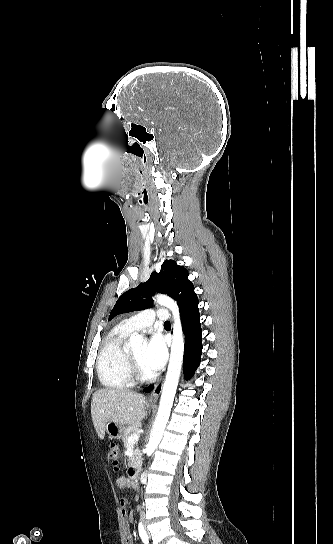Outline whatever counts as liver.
Returning <instances> with one entry per match:
<instances>
[{
    "instance_id": "obj_1",
    "label": "liver",
    "mask_w": 333,
    "mask_h": 544,
    "mask_svg": "<svg viewBox=\"0 0 333 544\" xmlns=\"http://www.w3.org/2000/svg\"><path fill=\"white\" fill-rule=\"evenodd\" d=\"M145 397L125 389H99L91 401V416L100 439L105 426L112 421L120 425H134L145 415Z\"/></svg>"
}]
</instances>
